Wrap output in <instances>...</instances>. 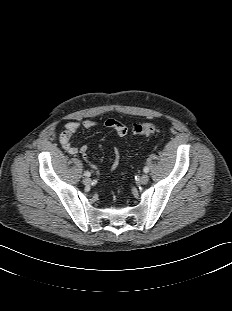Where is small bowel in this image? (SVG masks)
Listing matches in <instances>:
<instances>
[{
  "label": "small bowel",
  "instance_id": "1",
  "mask_svg": "<svg viewBox=\"0 0 232 311\" xmlns=\"http://www.w3.org/2000/svg\"><path fill=\"white\" fill-rule=\"evenodd\" d=\"M97 124L96 121L87 119L82 122L79 121H69L65 125L64 131L59 135V142L63 149L71 155L82 154L86 155L87 146L82 145L80 147H76L71 143V138L79 129H90ZM105 126L109 129L115 130L118 136L123 137L127 134V128L121 124L119 121L115 119H108L105 121ZM119 153L115 150V160L112 164V168H116L118 165Z\"/></svg>",
  "mask_w": 232,
  "mask_h": 311
}]
</instances>
